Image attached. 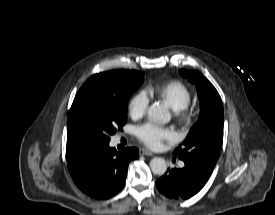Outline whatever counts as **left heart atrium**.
Wrapping results in <instances>:
<instances>
[{
    "label": "left heart atrium",
    "instance_id": "1",
    "mask_svg": "<svg viewBox=\"0 0 275 215\" xmlns=\"http://www.w3.org/2000/svg\"><path fill=\"white\" fill-rule=\"evenodd\" d=\"M135 134L150 148H158L163 141H172L175 138L172 130L151 122L138 126Z\"/></svg>",
    "mask_w": 275,
    "mask_h": 215
}]
</instances>
